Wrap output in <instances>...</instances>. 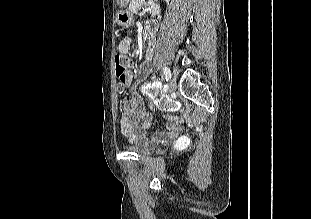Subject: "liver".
<instances>
[{"label": "liver", "instance_id": "obj_1", "mask_svg": "<svg viewBox=\"0 0 311 219\" xmlns=\"http://www.w3.org/2000/svg\"><path fill=\"white\" fill-rule=\"evenodd\" d=\"M118 4L121 6V7H124L127 5V3L129 2V0H117Z\"/></svg>", "mask_w": 311, "mask_h": 219}]
</instances>
